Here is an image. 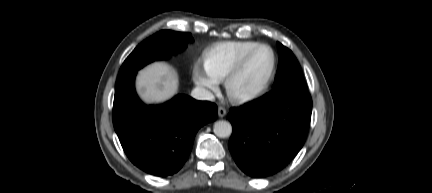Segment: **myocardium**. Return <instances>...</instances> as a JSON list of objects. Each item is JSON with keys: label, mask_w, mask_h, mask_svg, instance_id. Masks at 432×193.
Here are the masks:
<instances>
[{"label": "myocardium", "mask_w": 432, "mask_h": 193, "mask_svg": "<svg viewBox=\"0 0 432 193\" xmlns=\"http://www.w3.org/2000/svg\"><path fill=\"white\" fill-rule=\"evenodd\" d=\"M261 48H267L272 53V67L264 84L256 91L248 94H238L233 90V81L246 66L250 58ZM277 70V55L275 50L268 44L260 43L249 50L229 71L225 77V90L229 99L235 104H247L262 97L271 86Z\"/></svg>", "instance_id": "obj_1"}]
</instances>
